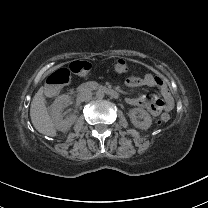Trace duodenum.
<instances>
[{"label": "duodenum", "instance_id": "1", "mask_svg": "<svg viewBox=\"0 0 208 208\" xmlns=\"http://www.w3.org/2000/svg\"><path fill=\"white\" fill-rule=\"evenodd\" d=\"M88 90H100V91L106 93L107 95H109L113 98L118 97V93H117L116 90H114L110 87H107V86L100 85V84L95 83V82H87V83L81 84L78 87L79 92H85V91H88Z\"/></svg>", "mask_w": 208, "mask_h": 208}]
</instances>
